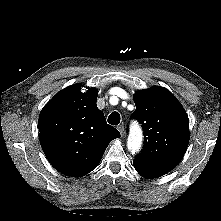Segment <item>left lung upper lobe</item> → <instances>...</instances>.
<instances>
[{"instance_id":"1","label":"left lung upper lobe","mask_w":221,"mask_h":221,"mask_svg":"<svg viewBox=\"0 0 221 221\" xmlns=\"http://www.w3.org/2000/svg\"><path fill=\"white\" fill-rule=\"evenodd\" d=\"M132 117L144 130V146L133 163L162 174L175 168L189 143V120L182 105L170 91L152 87L134 95Z\"/></svg>"}]
</instances>
